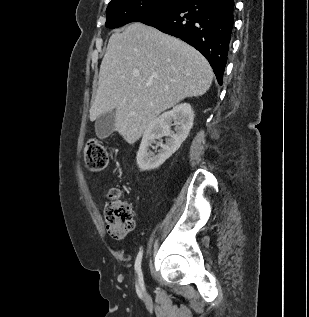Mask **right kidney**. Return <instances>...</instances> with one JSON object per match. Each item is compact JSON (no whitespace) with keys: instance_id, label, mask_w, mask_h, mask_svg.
Segmentation results:
<instances>
[{"instance_id":"obj_1","label":"right kidney","mask_w":309,"mask_h":317,"mask_svg":"<svg viewBox=\"0 0 309 317\" xmlns=\"http://www.w3.org/2000/svg\"><path fill=\"white\" fill-rule=\"evenodd\" d=\"M193 121L194 112L188 103H181L154 119L144 131L137 152L136 159L140 170L150 171L159 168L180 148L193 126ZM172 125H175V132L171 130ZM164 136L169 137L165 144L161 140ZM152 144L161 147L158 154L149 150Z\"/></svg>"}]
</instances>
